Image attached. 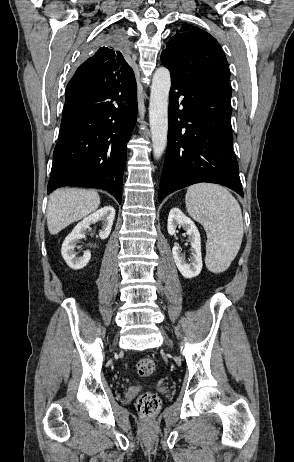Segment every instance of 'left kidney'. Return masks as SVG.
Returning <instances> with one entry per match:
<instances>
[{
  "label": "left kidney",
  "instance_id": "5707ae66",
  "mask_svg": "<svg viewBox=\"0 0 294 462\" xmlns=\"http://www.w3.org/2000/svg\"><path fill=\"white\" fill-rule=\"evenodd\" d=\"M181 225L188 235V240L191 245L192 258L190 263L185 261L184 256L181 254L180 248L174 246L172 254L174 261L180 273L188 279L198 276L202 270V256H201V239L200 233L194 222L188 218L179 208H173L169 212L167 230L170 235L176 233V227Z\"/></svg>",
  "mask_w": 294,
  "mask_h": 462
}]
</instances>
